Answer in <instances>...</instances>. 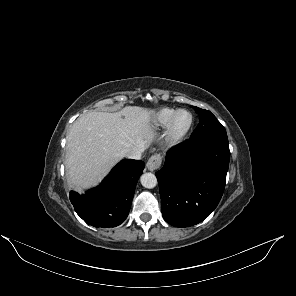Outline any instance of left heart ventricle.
Instances as JSON below:
<instances>
[{"label": "left heart ventricle", "mask_w": 296, "mask_h": 296, "mask_svg": "<svg viewBox=\"0 0 296 296\" xmlns=\"http://www.w3.org/2000/svg\"><path fill=\"white\" fill-rule=\"evenodd\" d=\"M189 122V116L186 113H182L177 118V128L182 129L184 128Z\"/></svg>", "instance_id": "obj_1"}]
</instances>
